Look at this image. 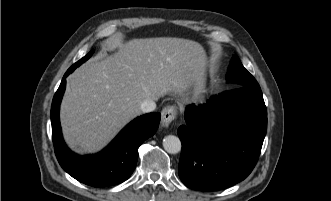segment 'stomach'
I'll return each instance as SVG.
<instances>
[{"instance_id": "stomach-1", "label": "stomach", "mask_w": 331, "mask_h": 201, "mask_svg": "<svg viewBox=\"0 0 331 201\" xmlns=\"http://www.w3.org/2000/svg\"><path fill=\"white\" fill-rule=\"evenodd\" d=\"M204 93H205V86H204V78H203V74H202L200 81H198L194 86L193 101L203 102L204 101V96H203Z\"/></svg>"}]
</instances>
